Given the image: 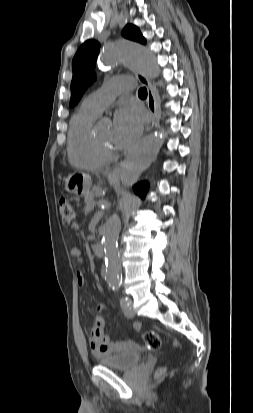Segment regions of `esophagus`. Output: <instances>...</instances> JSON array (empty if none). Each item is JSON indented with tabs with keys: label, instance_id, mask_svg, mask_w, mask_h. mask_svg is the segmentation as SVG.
<instances>
[{
	"label": "esophagus",
	"instance_id": "obj_1",
	"mask_svg": "<svg viewBox=\"0 0 253 413\" xmlns=\"http://www.w3.org/2000/svg\"><path fill=\"white\" fill-rule=\"evenodd\" d=\"M135 76L138 79V81L147 88V106H148L150 118L145 128V132H149L153 128L154 123H155L156 113H157V102H156L154 90H153L150 80L147 77H145L143 74L138 73V72L135 73ZM121 170H122V165L116 166L109 173V177L118 179L120 177Z\"/></svg>",
	"mask_w": 253,
	"mask_h": 413
}]
</instances>
